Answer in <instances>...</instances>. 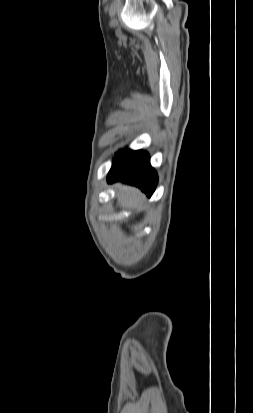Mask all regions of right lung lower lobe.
<instances>
[{
    "label": "right lung lower lobe",
    "mask_w": 253,
    "mask_h": 413,
    "mask_svg": "<svg viewBox=\"0 0 253 413\" xmlns=\"http://www.w3.org/2000/svg\"><path fill=\"white\" fill-rule=\"evenodd\" d=\"M107 180L110 183L123 181L135 185L150 197L156 188L158 177L150 165L147 152L125 150L114 158Z\"/></svg>",
    "instance_id": "obj_1"
}]
</instances>
